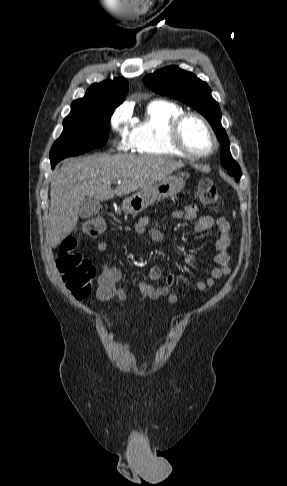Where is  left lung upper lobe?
I'll list each match as a JSON object with an SVG mask.
<instances>
[{"instance_id": "left-lung-upper-lobe-1", "label": "left lung upper lobe", "mask_w": 287, "mask_h": 486, "mask_svg": "<svg viewBox=\"0 0 287 486\" xmlns=\"http://www.w3.org/2000/svg\"><path fill=\"white\" fill-rule=\"evenodd\" d=\"M143 82L155 93L170 96L192 106L208 120L222 145L221 164L238 181L242 175L241 168L231 156L230 142L221 125L219 105L211 96V89L206 82L177 66L165 67L146 75Z\"/></svg>"}]
</instances>
